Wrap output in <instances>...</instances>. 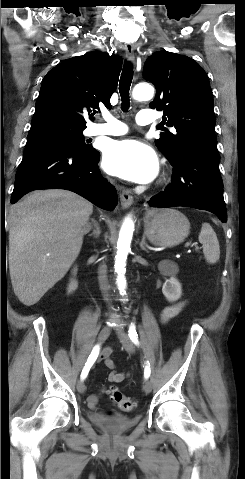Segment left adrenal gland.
I'll return each instance as SVG.
<instances>
[{"label": "left adrenal gland", "mask_w": 245, "mask_h": 479, "mask_svg": "<svg viewBox=\"0 0 245 479\" xmlns=\"http://www.w3.org/2000/svg\"><path fill=\"white\" fill-rule=\"evenodd\" d=\"M140 248L146 252H148V250L145 248V236H143L141 242H140Z\"/></svg>", "instance_id": "a2214340"}]
</instances>
